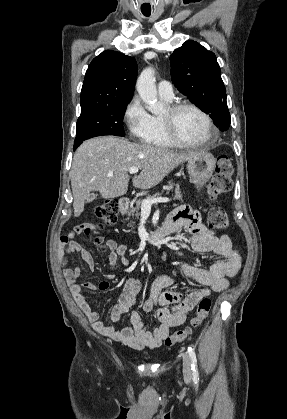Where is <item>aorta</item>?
Segmentation results:
<instances>
[{
    "label": "aorta",
    "instance_id": "aorta-1",
    "mask_svg": "<svg viewBox=\"0 0 287 419\" xmlns=\"http://www.w3.org/2000/svg\"><path fill=\"white\" fill-rule=\"evenodd\" d=\"M136 88L139 96L151 113L159 114L162 112L163 105L158 101L157 97L154 68L147 67L141 72L136 82Z\"/></svg>",
    "mask_w": 287,
    "mask_h": 419
}]
</instances>
